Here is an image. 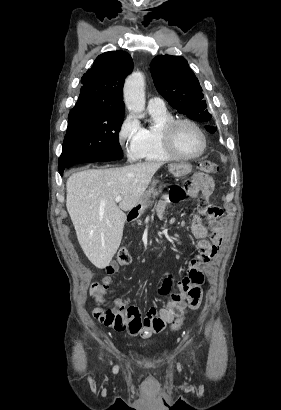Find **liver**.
<instances>
[{
    "instance_id": "6515ba94",
    "label": "liver",
    "mask_w": 281,
    "mask_h": 410,
    "mask_svg": "<svg viewBox=\"0 0 281 410\" xmlns=\"http://www.w3.org/2000/svg\"><path fill=\"white\" fill-rule=\"evenodd\" d=\"M161 162L72 174L66 184V207L78 242L93 265L103 269L118 250L131 210L145 193ZM121 196L117 205L115 198Z\"/></svg>"
}]
</instances>
